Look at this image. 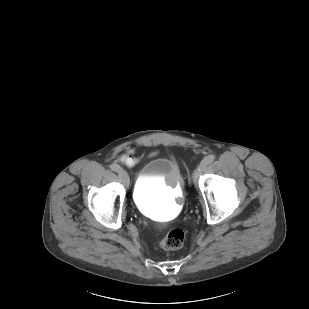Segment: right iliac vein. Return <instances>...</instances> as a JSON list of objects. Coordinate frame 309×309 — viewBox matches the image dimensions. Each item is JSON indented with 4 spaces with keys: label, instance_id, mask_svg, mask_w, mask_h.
<instances>
[{
    "label": "right iliac vein",
    "instance_id": "obj_1",
    "mask_svg": "<svg viewBox=\"0 0 309 309\" xmlns=\"http://www.w3.org/2000/svg\"><path fill=\"white\" fill-rule=\"evenodd\" d=\"M118 175L123 183L127 184L129 182V176L125 170L120 168L118 171Z\"/></svg>",
    "mask_w": 309,
    "mask_h": 309
}]
</instances>
